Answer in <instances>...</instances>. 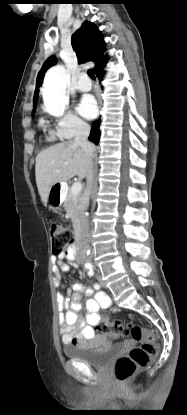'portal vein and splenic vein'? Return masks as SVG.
Segmentation results:
<instances>
[{
  "label": "portal vein and splenic vein",
  "instance_id": "portal-vein-and-splenic-vein-1",
  "mask_svg": "<svg viewBox=\"0 0 187 415\" xmlns=\"http://www.w3.org/2000/svg\"><path fill=\"white\" fill-rule=\"evenodd\" d=\"M81 190H82V184L80 182H75L71 187V193L76 197L79 195Z\"/></svg>",
  "mask_w": 187,
  "mask_h": 415
}]
</instances>
